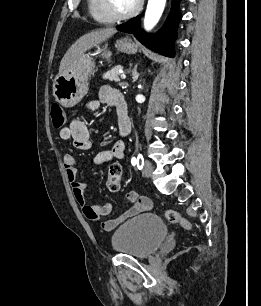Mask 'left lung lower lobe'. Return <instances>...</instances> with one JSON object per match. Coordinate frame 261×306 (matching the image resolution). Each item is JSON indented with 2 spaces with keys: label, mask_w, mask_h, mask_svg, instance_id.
Segmentation results:
<instances>
[{
  "label": "left lung lower lobe",
  "mask_w": 261,
  "mask_h": 306,
  "mask_svg": "<svg viewBox=\"0 0 261 306\" xmlns=\"http://www.w3.org/2000/svg\"><path fill=\"white\" fill-rule=\"evenodd\" d=\"M172 0L170 13L165 24L155 35L145 33L140 29V17L132 18L128 22L117 26L119 31L133 34L142 44L165 56H174L173 42L176 38L175 32L181 18L179 2Z\"/></svg>",
  "instance_id": "obj_1"
}]
</instances>
